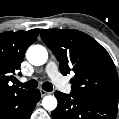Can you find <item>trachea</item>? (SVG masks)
Returning a JSON list of instances; mask_svg holds the SVG:
<instances>
[{
	"label": "trachea",
	"instance_id": "3493384b",
	"mask_svg": "<svg viewBox=\"0 0 119 119\" xmlns=\"http://www.w3.org/2000/svg\"><path fill=\"white\" fill-rule=\"evenodd\" d=\"M16 84L22 88H25V89H29V90H32V89H35L38 85L37 81L32 79L26 83H21L19 82L18 80L16 81ZM42 88L47 91V92H51L53 90V86L50 82H44L42 84Z\"/></svg>",
	"mask_w": 119,
	"mask_h": 119
}]
</instances>
